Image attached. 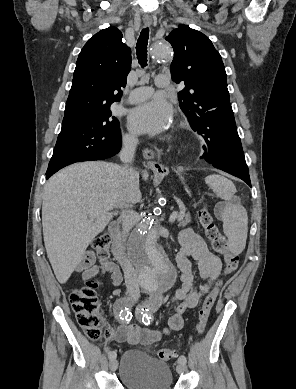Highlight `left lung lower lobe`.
Here are the masks:
<instances>
[{
  "label": "left lung lower lobe",
  "mask_w": 296,
  "mask_h": 389,
  "mask_svg": "<svg viewBox=\"0 0 296 389\" xmlns=\"http://www.w3.org/2000/svg\"><path fill=\"white\" fill-rule=\"evenodd\" d=\"M199 131L203 141L200 159L239 177L251 187L248 166L231 104L218 107L206 114Z\"/></svg>",
  "instance_id": "0a47b994"
}]
</instances>
